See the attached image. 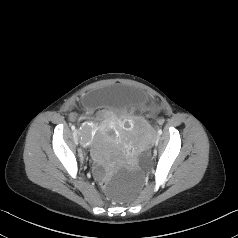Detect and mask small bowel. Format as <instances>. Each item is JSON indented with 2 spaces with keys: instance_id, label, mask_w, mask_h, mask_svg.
<instances>
[{
  "instance_id": "small-bowel-1",
  "label": "small bowel",
  "mask_w": 238,
  "mask_h": 238,
  "mask_svg": "<svg viewBox=\"0 0 238 238\" xmlns=\"http://www.w3.org/2000/svg\"><path fill=\"white\" fill-rule=\"evenodd\" d=\"M71 118L73 119V118H74V115H72Z\"/></svg>"
}]
</instances>
